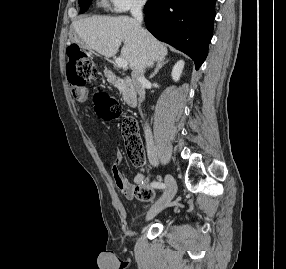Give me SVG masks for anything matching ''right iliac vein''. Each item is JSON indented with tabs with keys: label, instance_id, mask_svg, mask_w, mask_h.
I'll return each mask as SVG.
<instances>
[{
	"label": "right iliac vein",
	"instance_id": "63e3f726",
	"mask_svg": "<svg viewBox=\"0 0 286 269\" xmlns=\"http://www.w3.org/2000/svg\"><path fill=\"white\" fill-rule=\"evenodd\" d=\"M166 190L161 198L149 209L146 215V221L153 219L163 209H165L176 194V181L170 174L165 176Z\"/></svg>",
	"mask_w": 286,
	"mask_h": 269
}]
</instances>
